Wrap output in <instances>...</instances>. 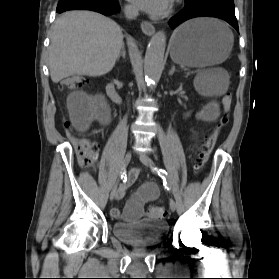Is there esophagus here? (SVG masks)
<instances>
[{
  "label": "esophagus",
  "instance_id": "obj_1",
  "mask_svg": "<svg viewBox=\"0 0 279 279\" xmlns=\"http://www.w3.org/2000/svg\"><path fill=\"white\" fill-rule=\"evenodd\" d=\"M141 29L142 32L148 36H151L155 32L154 26L148 21H142Z\"/></svg>",
  "mask_w": 279,
  "mask_h": 279
}]
</instances>
